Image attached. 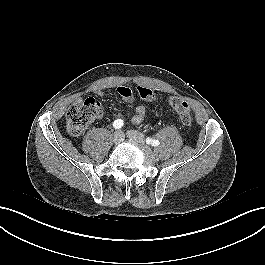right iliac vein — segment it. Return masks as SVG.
Wrapping results in <instances>:
<instances>
[{"instance_id":"obj_1","label":"right iliac vein","mask_w":265,"mask_h":265,"mask_svg":"<svg viewBox=\"0 0 265 265\" xmlns=\"http://www.w3.org/2000/svg\"><path fill=\"white\" fill-rule=\"evenodd\" d=\"M124 140V134L122 131L118 130L114 133L112 141L115 145H118L120 143H122Z\"/></svg>"}]
</instances>
